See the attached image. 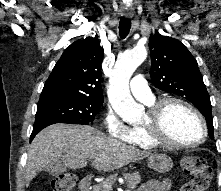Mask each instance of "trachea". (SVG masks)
<instances>
[{
	"label": "trachea",
	"mask_w": 221,
	"mask_h": 191,
	"mask_svg": "<svg viewBox=\"0 0 221 191\" xmlns=\"http://www.w3.org/2000/svg\"><path fill=\"white\" fill-rule=\"evenodd\" d=\"M131 28V20L130 19H120L119 22V35L122 39L126 38L129 34Z\"/></svg>",
	"instance_id": "3493384b"
}]
</instances>
